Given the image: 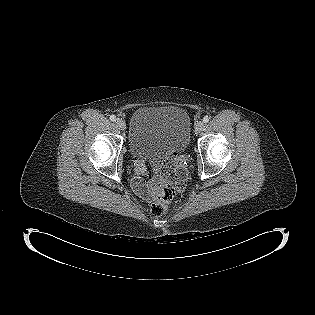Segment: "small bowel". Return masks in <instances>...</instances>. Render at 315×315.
I'll return each mask as SVG.
<instances>
[{
    "mask_svg": "<svg viewBox=\"0 0 315 315\" xmlns=\"http://www.w3.org/2000/svg\"><path fill=\"white\" fill-rule=\"evenodd\" d=\"M152 166L155 175L146 182L144 180V176L147 173L145 165L142 162H137L135 165L136 176L133 179L132 185L135 192L145 199H149L155 195L160 185L168 178L171 162L163 166L158 159H153Z\"/></svg>",
    "mask_w": 315,
    "mask_h": 315,
    "instance_id": "obj_1",
    "label": "small bowel"
}]
</instances>
